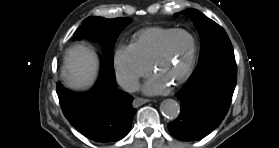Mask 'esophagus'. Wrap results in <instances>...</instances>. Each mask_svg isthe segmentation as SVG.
Returning <instances> with one entry per match:
<instances>
[{
	"label": "esophagus",
	"instance_id": "34e87169",
	"mask_svg": "<svg viewBox=\"0 0 279 148\" xmlns=\"http://www.w3.org/2000/svg\"><path fill=\"white\" fill-rule=\"evenodd\" d=\"M150 100L149 99H146V98H141V97H136L134 100H133V107H139L140 105L142 104H145L147 102H149Z\"/></svg>",
	"mask_w": 279,
	"mask_h": 148
}]
</instances>
